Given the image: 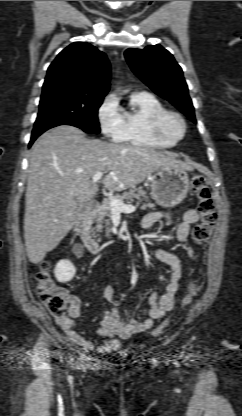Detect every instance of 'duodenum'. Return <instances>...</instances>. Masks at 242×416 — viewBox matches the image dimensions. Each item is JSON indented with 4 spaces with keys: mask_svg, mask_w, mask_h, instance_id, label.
Masks as SVG:
<instances>
[{
    "mask_svg": "<svg viewBox=\"0 0 242 416\" xmlns=\"http://www.w3.org/2000/svg\"><path fill=\"white\" fill-rule=\"evenodd\" d=\"M98 206V202H90L86 212L78 219L76 223V232L78 236L80 237L83 244L88 248V250L94 255H99L102 252L100 244L92 236L89 226L90 217L98 209Z\"/></svg>",
    "mask_w": 242,
    "mask_h": 416,
    "instance_id": "obj_1",
    "label": "duodenum"
}]
</instances>
